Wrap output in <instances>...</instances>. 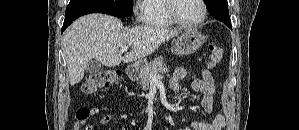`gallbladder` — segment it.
Here are the masks:
<instances>
[{
  "label": "gallbladder",
  "mask_w": 299,
  "mask_h": 130,
  "mask_svg": "<svg viewBox=\"0 0 299 130\" xmlns=\"http://www.w3.org/2000/svg\"><path fill=\"white\" fill-rule=\"evenodd\" d=\"M101 66H102V64L99 61L92 59L88 63L85 71L87 74H95L100 70Z\"/></svg>",
  "instance_id": "1"
}]
</instances>
